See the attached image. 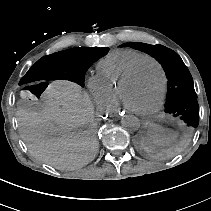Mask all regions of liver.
<instances>
[{"mask_svg": "<svg viewBox=\"0 0 211 211\" xmlns=\"http://www.w3.org/2000/svg\"><path fill=\"white\" fill-rule=\"evenodd\" d=\"M41 109L18 110L19 133L31 154L57 169L88 164L98 150L94 109L80 86L54 81Z\"/></svg>", "mask_w": 211, "mask_h": 211, "instance_id": "6515ba94", "label": "liver"}]
</instances>
